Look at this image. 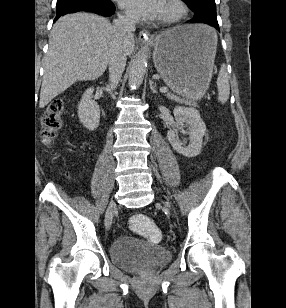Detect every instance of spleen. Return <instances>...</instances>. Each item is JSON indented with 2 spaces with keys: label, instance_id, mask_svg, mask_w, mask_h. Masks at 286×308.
I'll return each instance as SVG.
<instances>
[{
  "label": "spleen",
  "instance_id": "obj_1",
  "mask_svg": "<svg viewBox=\"0 0 286 308\" xmlns=\"http://www.w3.org/2000/svg\"><path fill=\"white\" fill-rule=\"evenodd\" d=\"M218 101L226 103L230 94L229 77L225 65H222L217 78Z\"/></svg>",
  "mask_w": 286,
  "mask_h": 308
}]
</instances>
